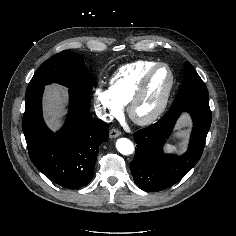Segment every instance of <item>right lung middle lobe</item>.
Here are the masks:
<instances>
[{"label": "right lung middle lobe", "mask_w": 236, "mask_h": 236, "mask_svg": "<svg viewBox=\"0 0 236 236\" xmlns=\"http://www.w3.org/2000/svg\"><path fill=\"white\" fill-rule=\"evenodd\" d=\"M59 83L70 89L91 91L93 84L83 57L68 50L53 55L38 68L28 89Z\"/></svg>", "instance_id": "obj_1"}]
</instances>
